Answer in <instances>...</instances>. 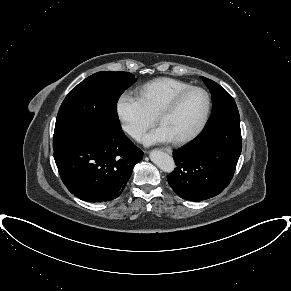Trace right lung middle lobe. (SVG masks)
I'll return each instance as SVG.
<instances>
[{
    "label": "right lung middle lobe",
    "instance_id": "dd1d6c3e",
    "mask_svg": "<svg viewBox=\"0 0 291 291\" xmlns=\"http://www.w3.org/2000/svg\"><path fill=\"white\" fill-rule=\"evenodd\" d=\"M136 79L129 72L95 73L64 99L55 124L53 149L84 134H108L121 131L117 102Z\"/></svg>",
    "mask_w": 291,
    "mask_h": 291
}]
</instances>
